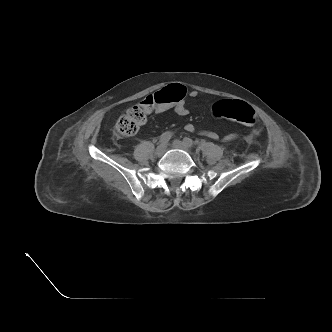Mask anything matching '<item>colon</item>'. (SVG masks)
<instances>
[{"label":"colon","instance_id":"5ec220e1","mask_svg":"<svg viewBox=\"0 0 332 332\" xmlns=\"http://www.w3.org/2000/svg\"><path fill=\"white\" fill-rule=\"evenodd\" d=\"M186 89L180 84H171L155 94L148 96L141 104L129 108L117 120L114 134L118 138L130 137L137 133L147 117V109L154 105L163 106L183 100ZM212 114L216 118H223L253 126L257 122L254 109L246 102L240 100H220L212 107ZM251 141L253 137L249 138Z\"/></svg>","mask_w":332,"mask_h":332}]
</instances>
